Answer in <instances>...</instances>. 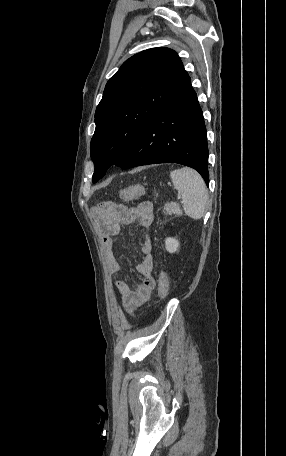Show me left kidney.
<instances>
[{
    "label": "left kidney",
    "instance_id": "5707ae66",
    "mask_svg": "<svg viewBox=\"0 0 286 456\" xmlns=\"http://www.w3.org/2000/svg\"><path fill=\"white\" fill-rule=\"evenodd\" d=\"M165 246L169 253H174L179 248V241L175 238L168 237L165 239Z\"/></svg>",
    "mask_w": 286,
    "mask_h": 456
}]
</instances>
